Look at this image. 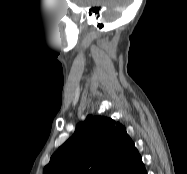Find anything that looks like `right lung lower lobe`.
I'll use <instances>...</instances> for the list:
<instances>
[{
    "mask_svg": "<svg viewBox=\"0 0 187 174\" xmlns=\"http://www.w3.org/2000/svg\"><path fill=\"white\" fill-rule=\"evenodd\" d=\"M138 174H146V170H145V168L142 169L140 172H138Z\"/></svg>",
    "mask_w": 187,
    "mask_h": 174,
    "instance_id": "right-lung-lower-lobe-1",
    "label": "right lung lower lobe"
}]
</instances>
